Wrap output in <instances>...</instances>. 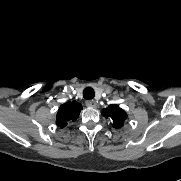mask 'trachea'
<instances>
[{
  "instance_id": "trachea-1",
  "label": "trachea",
  "mask_w": 181,
  "mask_h": 181,
  "mask_svg": "<svg viewBox=\"0 0 181 181\" xmlns=\"http://www.w3.org/2000/svg\"><path fill=\"white\" fill-rule=\"evenodd\" d=\"M94 95H95L94 90L91 87H86L83 90V97L85 99H93Z\"/></svg>"
}]
</instances>
